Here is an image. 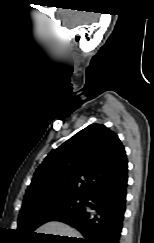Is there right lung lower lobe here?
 Instances as JSON below:
<instances>
[{
  "label": "right lung lower lobe",
  "mask_w": 154,
  "mask_h": 243,
  "mask_svg": "<svg viewBox=\"0 0 154 243\" xmlns=\"http://www.w3.org/2000/svg\"><path fill=\"white\" fill-rule=\"evenodd\" d=\"M127 167L100 182L85 197L82 208L60 215L61 221L83 235L72 243H119L126 203Z\"/></svg>",
  "instance_id": "98d812e1"
}]
</instances>
